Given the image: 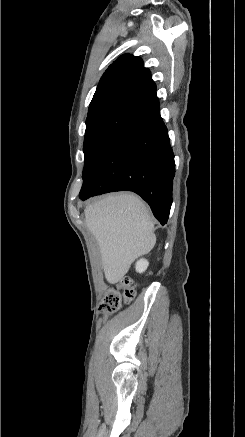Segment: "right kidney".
Instances as JSON below:
<instances>
[{"label": "right kidney", "instance_id": "right-kidney-1", "mask_svg": "<svg viewBox=\"0 0 245 437\" xmlns=\"http://www.w3.org/2000/svg\"><path fill=\"white\" fill-rule=\"evenodd\" d=\"M148 265H149V263L146 259H140L136 263V271L139 273H142L147 269Z\"/></svg>", "mask_w": 245, "mask_h": 437}]
</instances>
